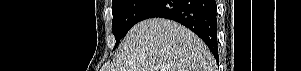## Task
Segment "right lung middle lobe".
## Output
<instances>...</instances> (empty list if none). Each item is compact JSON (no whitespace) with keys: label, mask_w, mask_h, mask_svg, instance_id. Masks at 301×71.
<instances>
[{"label":"right lung middle lobe","mask_w":301,"mask_h":71,"mask_svg":"<svg viewBox=\"0 0 301 71\" xmlns=\"http://www.w3.org/2000/svg\"><path fill=\"white\" fill-rule=\"evenodd\" d=\"M155 0H112V32L118 46L130 28L140 21L143 12Z\"/></svg>","instance_id":"1"}]
</instances>
